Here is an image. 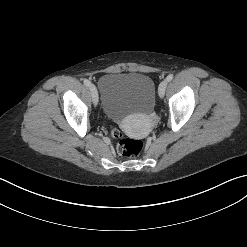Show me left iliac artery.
Returning a JSON list of instances; mask_svg holds the SVG:
<instances>
[{"label":"left iliac artery","mask_w":247,"mask_h":247,"mask_svg":"<svg viewBox=\"0 0 247 247\" xmlns=\"http://www.w3.org/2000/svg\"><path fill=\"white\" fill-rule=\"evenodd\" d=\"M173 79V74H169L166 78L167 82H170Z\"/></svg>","instance_id":"44dca946"}]
</instances>
